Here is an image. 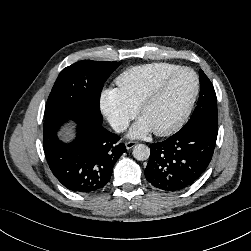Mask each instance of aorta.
Segmentation results:
<instances>
[{
	"instance_id": "1",
	"label": "aorta",
	"mask_w": 251,
	"mask_h": 251,
	"mask_svg": "<svg viewBox=\"0 0 251 251\" xmlns=\"http://www.w3.org/2000/svg\"><path fill=\"white\" fill-rule=\"evenodd\" d=\"M150 156V149L144 144H137L133 148V157L139 161L147 160Z\"/></svg>"
}]
</instances>
